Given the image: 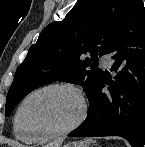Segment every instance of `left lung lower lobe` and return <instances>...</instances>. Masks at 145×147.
Masks as SVG:
<instances>
[{
    "label": "left lung lower lobe",
    "mask_w": 145,
    "mask_h": 147,
    "mask_svg": "<svg viewBox=\"0 0 145 147\" xmlns=\"http://www.w3.org/2000/svg\"><path fill=\"white\" fill-rule=\"evenodd\" d=\"M114 80L104 73L90 100L86 120L68 136H120L132 147L145 144V8L131 0L109 52ZM107 85L109 92L102 89Z\"/></svg>",
    "instance_id": "left-lung-lower-lobe-1"
}]
</instances>
